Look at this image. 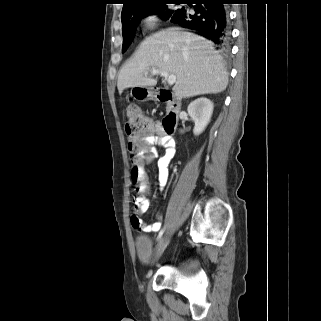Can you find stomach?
<instances>
[{"label": "stomach", "instance_id": "1", "mask_svg": "<svg viewBox=\"0 0 321 321\" xmlns=\"http://www.w3.org/2000/svg\"><path fill=\"white\" fill-rule=\"evenodd\" d=\"M131 95L135 99L142 101L150 98L152 96V92L147 87H133L131 89Z\"/></svg>", "mask_w": 321, "mask_h": 321}]
</instances>
